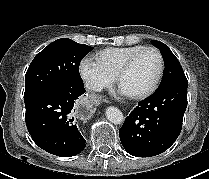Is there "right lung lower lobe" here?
Here are the masks:
<instances>
[{
  "label": "right lung lower lobe",
  "mask_w": 209,
  "mask_h": 179,
  "mask_svg": "<svg viewBox=\"0 0 209 179\" xmlns=\"http://www.w3.org/2000/svg\"><path fill=\"white\" fill-rule=\"evenodd\" d=\"M84 93L83 85L57 87L26 107L27 129L40 148L61 157L75 156L85 148L72 110L75 100Z\"/></svg>",
  "instance_id": "right-lung-lower-lobe-1"
}]
</instances>
